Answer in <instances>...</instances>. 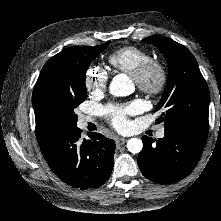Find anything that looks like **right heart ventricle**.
I'll list each match as a JSON object with an SVG mask.
<instances>
[{
  "instance_id": "1",
  "label": "right heart ventricle",
  "mask_w": 221,
  "mask_h": 221,
  "mask_svg": "<svg viewBox=\"0 0 221 221\" xmlns=\"http://www.w3.org/2000/svg\"><path fill=\"white\" fill-rule=\"evenodd\" d=\"M151 59L150 53L135 46H123L111 52L107 61L116 72L133 76L134 72Z\"/></svg>"
}]
</instances>
